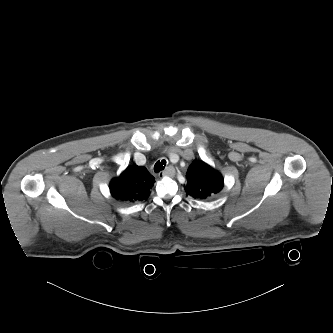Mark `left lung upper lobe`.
I'll use <instances>...</instances> for the list:
<instances>
[{"label":"left lung upper lobe","instance_id":"left-lung-upper-lobe-1","mask_svg":"<svg viewBox=\"0 0 333 333\" xmlns=\"http://www.w3.org/2000/svg\"><path fill=\"white\" fill-rule=\"evenodd\" d=\"M186 195L195 199H210L224 186L222 175L203 161H193L187 170Z\"/></svg>","mask_w":333,"mask_h":333}]
</instances>
